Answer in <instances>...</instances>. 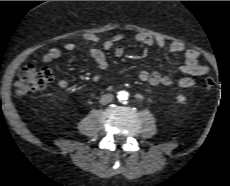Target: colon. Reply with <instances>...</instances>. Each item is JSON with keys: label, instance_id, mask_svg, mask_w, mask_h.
<instances>
[{"label": "colon", "instance_id": "obj_1", "mask_svg": "<svg viewBox=\"0 0 230 186\" xmlns=\"http://www.w3.org/2000/svg\"><path fill=\"white\" fill-rule=\"evenodd\" d=\"M53 80V71L50 68H37L33 65L24 67L14 85V92L19 97L45 89ZM206 89L215 87V80L211 77L204 78Z\"/></svg>", "mask_w": 230, "mask_h": 186}]
</instances>
